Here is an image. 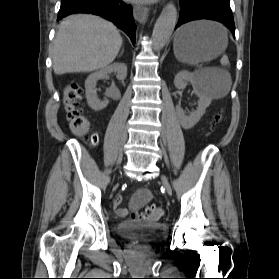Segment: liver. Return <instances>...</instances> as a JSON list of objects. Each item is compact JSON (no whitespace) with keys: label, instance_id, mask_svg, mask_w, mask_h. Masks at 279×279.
Masks as SVG:
<instances>
[{"label":"liver","instance_id":"6515ba94","mask_svg":"<svg viewBox=\"0 0 279 279\" xmlns=\"http://www.w3.org/2000/svg\"><path fill=\"white\" fill-rule=\"evenodd\" d=\"M122 37L110 22L86 14L61 21L54 40L52 61L57 75L91 72L114 61Z\"/></svg>","mask_w":279,"mask_h":279}]
</instances>
